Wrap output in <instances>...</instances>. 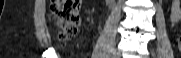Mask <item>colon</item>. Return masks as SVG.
<instances>
[{
  "label": "colon",
  "mask_w": 181,
  "mask_h": 58,
  "mask_svg": "<svg viewBox=\"0 0 181 58\" xmlns=\"http://www.w3.org/2000/svg\"><path fill=\"white\" fill-rule=\"evenodd\" d=\"M80 7L81 0H52L50 12L59 27L57 40L60 44L66 43L77 33ZM178 48L181 51V35L178 38Z\"/></svg>",
  "instance_id": "5ec220e1"
}]
</instances>
